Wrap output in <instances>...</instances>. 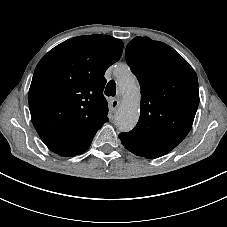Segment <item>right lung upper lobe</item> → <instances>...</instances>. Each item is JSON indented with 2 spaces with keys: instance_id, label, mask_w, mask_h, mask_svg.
Here are the masks:
<instances>
[{
  "instance_id": "1",
  "label": "right lung upper lobe",
  "mask_w": 227,
  "mask_h": 227,
  "mask_svg": "<svg viewBox=\"0 0 227 227\" xmlns=\"http://www.w3.org/2000/svg\"><path fill=\"white\" fill-rule=\"evenodd\" d=\"M122 50L120 39L86 35L64 41L40 60L29 89V109L36 131L51 151L82 154L108 122L104 73Z\"/></svg>"
}]
</instances>
